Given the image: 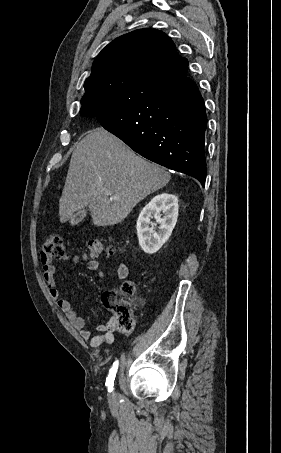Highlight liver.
Masks as SVG:
<instances>
[{"instance_id":"liver-1","label":"liver","mask_w":281,"mask_h":453,"mask_svg":"<svg viewBox=\"0 0 281 453\" xmlns=\"http://www.w3.org/2000/svg\"><path fill=\"white\" fill-rule=\"evenodd\" d=\"M170 178L166 168L137 156L105 128H92L72 152L59 200L60 222L88 206L96 227H111ZM103 188L118 198H110Z\"/></svg>"}]
</instances>
